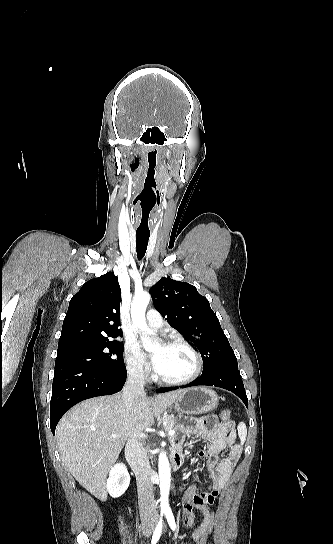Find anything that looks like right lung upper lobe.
Returning a JSON list of instances; mask_svg holds the SVG:
<instances>
[{
    "label": "right lung upper lobe",
    "mask_w": 333,
    "mask_h": 544,
    "mask_svg": "<svg viewBox=\"0 0 333 544\" xmlns=\"http://www.w3.org/2000/svg\"><path fill=\"white\" fill-rule=\"evenodd\" d=\"M121 289L118 277L108 272L86 282L69 303L58 349L122 335Z\"/></svg>",
    "instance_id": "1"
}]
</instances>
